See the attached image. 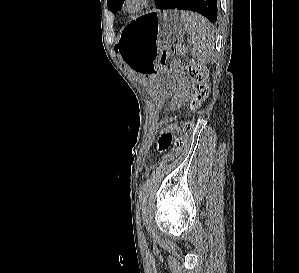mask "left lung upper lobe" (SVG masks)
<instances>
[{"label": "left lung upper lobe", "instance_id": "obj_1", "mask_svg": "<svg viewBox=\"0 0 299 273\" xmlns=\"http://www.w3.org/2000/svg\"><path fill=\"white\" fill-rule=\"evenodd\" d=\"M124 0H107L108 8L112 12H117L122 8Z\"/></svg>", "mask_w": 299, "mask_h": 273}]
</instances>
